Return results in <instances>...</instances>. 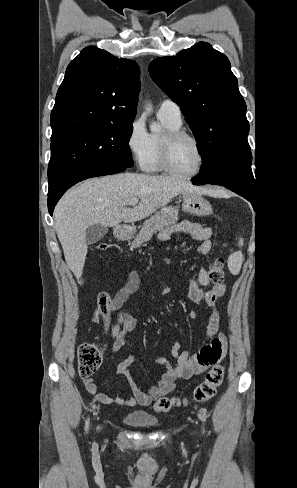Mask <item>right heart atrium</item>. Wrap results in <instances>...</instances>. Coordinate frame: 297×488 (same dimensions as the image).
<instances>
[{"mask_svg": "<svg viewBox=\"0 0 297 488\" xmlns=\"http://www.w3.org/2000/svg\"><path fill=\"white\" fill-rule=\"evenodd\" d=\"M126 147L136 164L144 167L150 154L151 138L143 118L138 117L131 122L126 136Z\"/></svg>", "mask_w": 297, "mask_h": 488, "instance_id": "1", "label": "right heart atrium"}]
</instances>
